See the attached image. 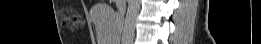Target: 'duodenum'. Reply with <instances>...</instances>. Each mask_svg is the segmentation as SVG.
Instances as JSON below:
<instances>
[{"label":"duodenum","instance_id":"1","mask_svg":"<svg viewBox=\"0 0 261 44\" xmlns=\"http://www.w3.org/2000/svg\"><path fill=\"white\" fill-rule=\"evenodd\" d=\"M120 24H122V22H123V18H122V15H120Z\"/></svg>","mask_w":261,"mask_h":44}]
</instances>
